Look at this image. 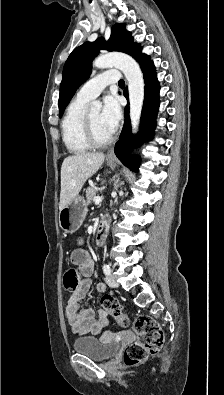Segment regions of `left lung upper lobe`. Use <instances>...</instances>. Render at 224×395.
I'll return each mask as SVG.
<instances>
[{
  "instance_id": "left-lung-upper-lobe-1",
  "label": "left lung upper lobe",
  "mask_w": 224,
  "mask_h": 395,
  "mask_svg": "<svg viewBox=\"0 0 224 395\" xmlns=\"http://www.w3.org/2000/svg\"><path fill=\"white\" fill-rule=\"evenodd\" d=\"M103 48L109 51H121L133 57L141 51L140 45L134 43L131 33L126 31L124 24H115L112 27L111 36L107 42L104 39H98L92 43L85 42L74 49L63 69L59 96L60 117L77 88L90 76L91 62Z\"/></svg>"
}]
</instances>
